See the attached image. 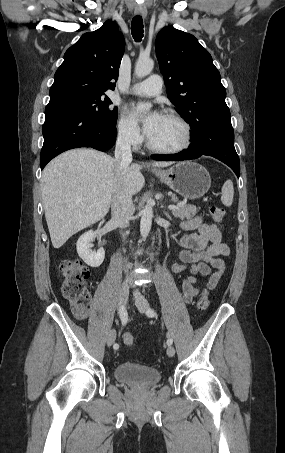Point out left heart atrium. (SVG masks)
Wrapping results in <instances>:
<instances>
[{"label": "left heart atrium", "mask_w": 285, "mask_h": 453, "mask_svg": "<svg viewBox=\"0 0 285 453\" xmlns=\"http://www.w3.org/2000/svg\"><path fill=\"white\" fill-rule=\"evenodd\" d=\"M133 114L134 115L138 114V111H137L136 107H133ZM161 116L162 115L159 112L155 111V112L151 113L150 115H148L145 119H143L144 130H145V133L148 136L155 129V127H156L157 123L159 122Z\"/></svg>", "instance_id": "left-heart-atrium-1"}]
</instances>
